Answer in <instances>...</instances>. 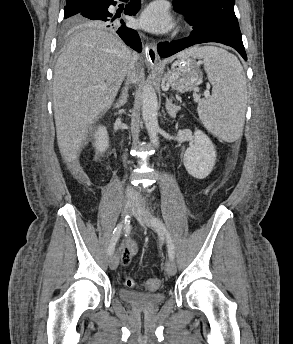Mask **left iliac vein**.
I'll use <instances>...</instances> for the list:
<instances>
[{
    "instance_id": "4c4485c4",
    "label": "left iliac vein",
    "mask_w": 293,
    "mask_h": 344,
    "mask_svg": "<svg viewBox=\"0 0 293 344\" xmlns=\"http://www.w3.org/2000/svg\"><path fill=\"white\" fill-rule=\"evenodd\" d=\"M134 216L143 227L152 226V214L141 205H137L133 211ZM165 271L169 276L176 274V265L172 259H168L165 264Z\"/></svg>"
}]
</instances>
